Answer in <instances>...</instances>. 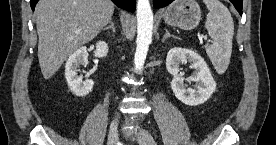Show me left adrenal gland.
Wrapping results in <instances>:
<instances>
[{
	"mask_svg": "<svg viewBox=\"0 0 276 145\" xmlns=\"http://www.w3.org/2000/svg\"><path fill=\"white\" fill-rule=\"evenodd\" d=\"M165 31H166V33H165V35H164L163 38H162V42H164V41H165L167 38H169V37H173V38H175V39H180V38L177 37V36L171 35L167 29H165Z\"/></svg>",
	"mask_w": 276,
	"mask_h": 145,
	"instance_id": "obj_1",
	"label": "left adrenal gland"
}]
</instances>
